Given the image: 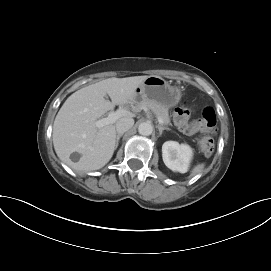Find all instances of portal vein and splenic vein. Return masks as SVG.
Instances as JSON below:
<instances>
[{"label": "portal vein and splenic vein", "instance_id": "obj_1", "mask_svg": "<svg viewBox=\"0 0 271 271\" xmlns=\"http://www.w3.org/2000/svg\"><path fill=\"white\" fill-rule=\"evenodd\" d=\"M126 111L123 110V109H119L115 112H110L108 114V116L106 118H102V119H99L97 120L94 125L97 127V128H102L106 125H109L111 123H114L115 121H117ZM158 122L159 124H164L163 120L161 118H158Z\"/></svg>", "mask_w": 271, "mask_h": 271}]
</instances>
